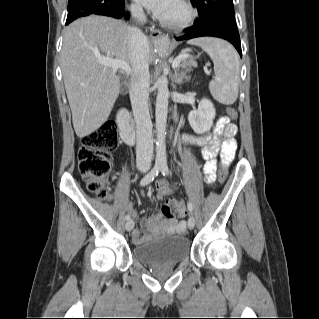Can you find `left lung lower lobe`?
<instances>
[{"label": "left lung lower lobe", "instance_id": "left-lung-lower-lobe-1", "mask_svg": "<svg viewBox=\"0 0 319 319\" xmlns=\"http://www.w3.org/2000/svg\"><path fill=\"white\" fill-rule=\"evenodd\" d=\"M186 33L183 36L175 37L177 41L188 40L202 36H212L225 39L229 41L238 51L242 57L240 36L237 30V26L221 23V22H209L203 24L193 25L186 28Z\"/></svg>", "mask_w": 319, "mask_h": 319}]
</instances>
